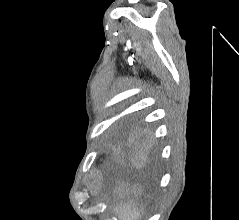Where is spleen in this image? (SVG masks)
<instances>
[{"label": "spleen", "mask_w": 239, "mask_h": 220, "mask_svg": "<svg viewBox=\"0 0 239 220\" xmlns=\"http://www.w3.org/2000/svg\"><path fill=\"white\" fill-rule=\"evenodd\" d=\"M115 214L118 215L120 220H140V210L138 207L133 206L129 204H124L121 206H118L114 209Z\"/></svg>", "instance_id": "3e777b00"}]
</instances>
